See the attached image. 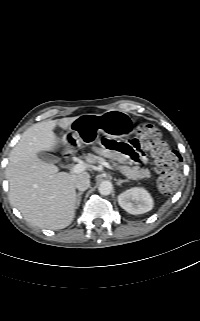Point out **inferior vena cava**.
Listing matches in <instances>:
<instances>
[{"mask_svg": "<svg viewBox=\"0 0 200 321\" xmlns=\"http://www.w3.org/2000/svg\"><path fill=\"white\" fill-rule=\"evenodd\" d=\"M75 187L80 191H85L90 187V179L86 176H80L75 182Z\"/></svg>", "mask_w": 200, "mask_h": 321, "instance_id": "inferior-vena-cava-1", "label": "inferior vena cava"}]
</instances>
